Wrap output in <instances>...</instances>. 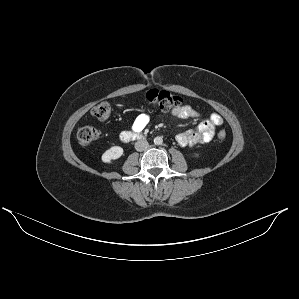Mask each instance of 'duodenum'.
Masks as SVG:
<instances>
[{
  "mask_svg": "<svg viewBox=\"0 0 299 299\" xmlns=\"http://www.w3.org/2000/svg\"><path fill=\"white\" fill-rule=\"evenodd\" d=\"M140 139H143V136L139 133L123 132L121 134V140L122 141L140 140Z\"/></svg>",
  "mask_w": 299,
  "mask_h": 299,
  "instance_id": "duodenum-1",
  "label": "duodenum"
}]
</instances>
